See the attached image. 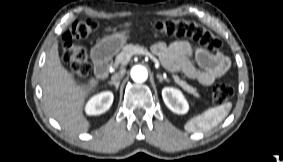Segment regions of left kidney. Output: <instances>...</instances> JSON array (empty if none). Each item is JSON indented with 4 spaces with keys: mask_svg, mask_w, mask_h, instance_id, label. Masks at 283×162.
Listing matches in <instances>:
<instances>
[{
    "mask_svg": "<svg viewBox=\"0 0 283 162\" xmlns=\"http://www.w3.org/2000/svg\"><path fill=\"white\" fill-rule=\"evenodd\" d=\"M162 98L165 105L174 113L186 114L189 110L188 102L183 94L173 87H164Z\"/></svg>",
    "mask_w": 283,
    "mask_h": 162,
    "instance_id": "left-kidney-1",
    "label": "left kidney"
}]
</instances>
